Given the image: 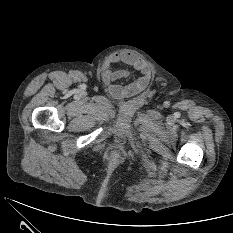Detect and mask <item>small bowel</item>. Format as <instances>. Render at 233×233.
Segmentation results:
<instances>
[{
    "instance_id": "1",
    "label": "small bowel",
    "mask_w": 233,
    "mask_h": 233,
    "mask_svg": "<svg viewBox=\"0 0 233 233\" xmlns=\"http://www.w3.org/2000/svg\"><path fill=\"white\" fill-rule=\"evenodd\" d=\"M123 63L131 66L140 72V76L127 85H119L116 81L128 76V71L124 69L114 70V64ZM101 79L107 86L109 93L114 98H128L139 94L149 84L151 72L147 64L138 56L131 53H114L110 55L102 64Z\"/></svg>"
}]
</instances>
